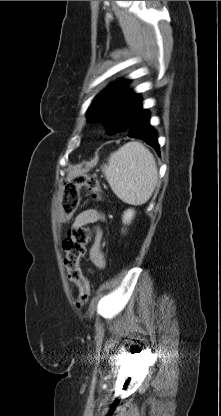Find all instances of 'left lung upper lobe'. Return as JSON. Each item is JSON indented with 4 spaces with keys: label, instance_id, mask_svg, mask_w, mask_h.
<instances>
[{
    "label": "left lung upper lobe",
    "instance_id": "5c2ea615",
    "mask_svg": "<svg viewBox=\"0 0 221 416\" xmlns=\"http://www.w3.org/2000/svg\"><path fill=\"white\" fill-rule=\"evenodd\" d=\"M129 80L109 85L98 94L88 109V122H104L110 134L128 132L131 119L141 104L139 94L126 90Z\"/></svg>",
    "mask_w": 221,
    "mask_h": 416
}]
</instances>
